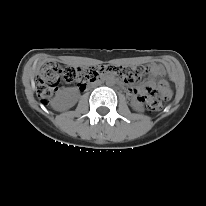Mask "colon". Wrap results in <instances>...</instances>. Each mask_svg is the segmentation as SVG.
Listing matches in <instances>:
<instances>
[{"instance_id": "5ec220e1", "label": "colon", "mask_w": 206, "mask_h": 206, "mask_svg": "<svg viewBox=\"0 0 206 206\" xmlns=\"http://www.w3.org/2000/svg\"><path fill=\"white\" fill-rule=\"evenodd\" d=\"M108 72L124 78L127 82L139 80L146 73L144 67L126 68L122 66H110L97 69L95 67L62 68L55 63H46L37 74V94L43 104H48L52 95L57 91L61 81L75 83L84 89L89 83L98 79L101 73ZM147 94L141 96L151 111H159L162 108V99L171 96L167 83L162 82L158 87L148 86Z\"/></svg>"}]
</instances>
